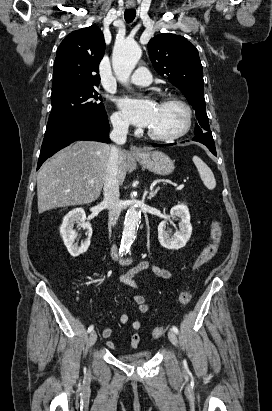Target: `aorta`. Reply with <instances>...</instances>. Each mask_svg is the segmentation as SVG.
<instances>
[{
	"mask_svg": "<svg viewBox=\"0 0 272 411\" xmlns=\"http://www.w3.org/2000/svg\"><path fill=\"white\" fill-rule=\"evenodd\" d=\"M141 57V49L134 41H126L114 47L112 66L118 80L124 84ZM141 214L135 206H131L126 213L119 255L128 253L135 239L140 223Z\"/></svg>",
	"mask_w": 272,
	"mask_h": 411,
	"instance_id": "1",
	"label": "aorta"
}]
</instances>
